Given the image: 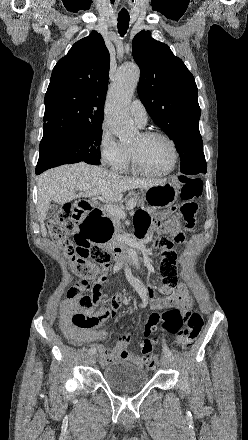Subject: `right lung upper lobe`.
<instances>
[{"label":"right lung upper lobe","mask_w":248,"mask_h":440,"mask_svg":"<svg viewBox=\"0 0 248 440\" xmlns=\"http://www.w3.org/2000/svg\"><path fill=\"white\" fill-rule=\"evenodd\" d=\"M109 67L108 49L96 31L72 46L51 75L43 137L102 125Z\"/></svg>","instance_id":"right-lung-upper-lobe-1"}]
</instances>
